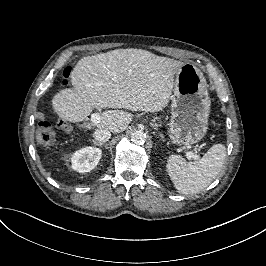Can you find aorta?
Masks as SVG:
<instances>
[{
    "instance_id": "aorta-1",
    "label": "aorta",
    "mask_w": 266,
    "mask_h": 266,
    "mask_svg": "<svg viewBox=\"0 0 266 266\" xmlns=\"http://www.w3.org/2000/svg\"><path fill=\"white\" fill-rule=\"evenodd\" d=\"M145 140H146V133L144 131L136 130L131 133V141L134 144L138 145L144 144Z\"/></svg>"
}]
</instances>
